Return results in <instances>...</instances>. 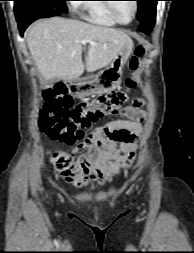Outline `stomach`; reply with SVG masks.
<instances>
[{"label": "stomach", "instance_id": "0dacf381", "mask_svg": "<svg viewBox=\"0 0 194 253\" xmlns=\"http://www.w3.org/2000/svg\"><path fill=\"white\" fill-rule=\"evenodd\" d=\"M131 50L128 47L123 48L108 67L95 75L69 80L70 93L75 97H86L92 94L108 93L116 89L121 81L123 65Z\"/></svg>", "mask_w": 194, "mask_h": 253}]
</instances>
